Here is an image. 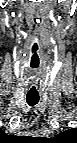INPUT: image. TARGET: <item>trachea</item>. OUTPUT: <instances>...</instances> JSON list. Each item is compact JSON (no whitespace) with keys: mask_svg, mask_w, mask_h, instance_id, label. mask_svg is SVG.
I'll return each instance as SVG.
<instances>
[{"mask_svg":"<svg viewBox=\"0 0 77 143\" xmlns=\"http://www.w3.org/2000/svg\"><path fill=\"white\" fill-rule=\"evenodd\" d=\"M39 95H31V94H28L26 96V100H27V103L29 106H34L36 105L38 102H39Z\"/></svg>","mask_w":77,"mask_h":143,"instance_id":"trachea-1","label":"trachea"}]
</instances>
